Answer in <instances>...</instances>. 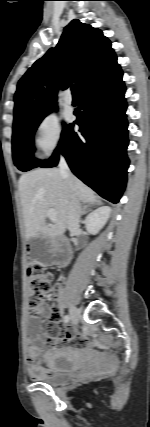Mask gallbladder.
<instances>
[{"mask_svg": "<svg viewBox=\"0 0 150 427\" xmlns=\"http://www.w3.org/2000/svg\"><path fill=\"white\" fill-rule=\"evenodd\" d=\"M30 256L42 264L50 265L53 262V255L50 252L51 243L42 235L33 237L30 241Z\"/></svg>", "mask_w": 150, "mask_h": 427, "instance_id": "bac80fb5", "label": "gallbladder"}]
</instances>
